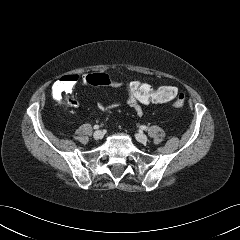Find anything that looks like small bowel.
I'll return each mask as SVG.
<instances>
[{"instance_id":"1","label":"small bowel","mask_w":240,"mask_h":240,"mask_svg":"<svg viewBox=\"0 0 240 240\" xmlns=\"http://www.w3.org/2000/svg\"><path fill=\"white\" fill-rule=\"evenodd\" d=\"M127 102L133 108V110L135 111V113L138 116H142L144 114V109L142 107V104H139L138 102H136L128 93H127ZM71 104L77 105V102L72 100ZM119 104H120L119 101H113L109 104L98 103L97 108L100 111H109V110H112V109H115L116 107H118Z\"/></svg>"}]
</instances>
